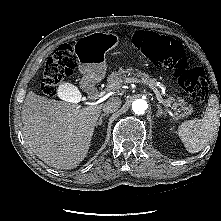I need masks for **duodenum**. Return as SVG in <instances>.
Wrapping results in <instances>:
<instances>
[{"instance_id":"410a0bca","label":"duodenum","mask_w":221,"mask_h":221,"mask_svg":"<svg viewBox=\"0 0 221 221\" xmlns=\"http://www.w3.org/2000/svg\"><path fill=\"white\" fill-rule=\"evenodd\" d=\"M85 90L91 98L95 99V98H98L100 95L99 89H97L95 87H87Z\"/></svg>"}]
</instances>
